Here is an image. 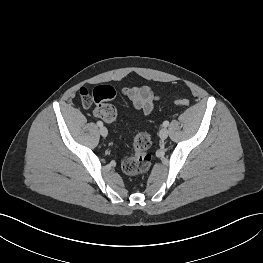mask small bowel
I'll return each instance as SVG.
<instances>
[{
    "mask_svg": "<svg viewBox=\"0 0 263 263\" xmlns=\"http://www.w3.org/2000/svg\"><path fill=\"white\" fill-rule=\"evenodd\" d=\"M122 92L132 102L134 108L144 115L152 112L158 98L156 92L148 86L127 87Z\"/></svg>",
    "mask_w": 263,
    "mask_h": 263,
    "instance_id": "obj_1",
    "label": "small bowel"
}]
</instances>
